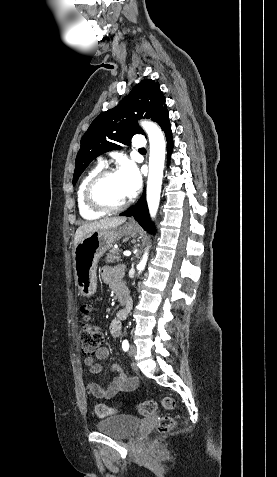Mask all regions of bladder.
Here are the masks:
<instances>
[{
	"instance_id": "1",
	"label": "bladder",
	"mask_w": 277,
	"mask_h": 477,
	"mask_svg": "<svg viewBox=\"0 0 277 477\" xmlns=\"http://www.w3.org/2000/svg\"><path fill=\"white\" fill-rule=\"evenodd\" d=\"M140 420L128 414H114L104 417L97 423V430L116 439H125L133 435Z\"/></svg>"
}]
</instances>
